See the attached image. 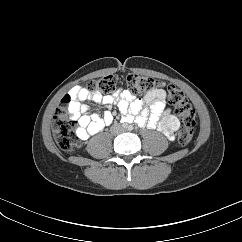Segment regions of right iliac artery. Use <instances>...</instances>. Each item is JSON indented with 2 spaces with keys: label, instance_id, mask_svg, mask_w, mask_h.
<instances>
[{
  "label": "right iliac artery",
  "instance_id": "82829eb1",
  "mask_svg": "<svg viewBox=\"0 0 242 242\" xmlns=\"http://www.w3.org/2000/svg\"><path fill=\"white\" fill-rule=\"evenodd\" d=\"M121 122H125V120L122 119Z\"/></svg>",
  "mask_w": 242,
  "mask_h": 242
}]
</instances>
